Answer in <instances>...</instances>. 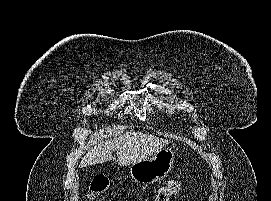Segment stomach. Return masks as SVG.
<instances>
[{
	"instance_id": "obj_1",
	"label": "stomach",
	"mask_w": 271,
	"mask_h": 201,
	"mask_svg": "<svg viewBox=\"0 0 271 201\" xmlns=\"http://www.w3.org/2000/svg\"><path fill=\"white\" fill-rule=\"evenodd\" d=\"M175 152L162 148L152 157L133 163L130 167V175L134 182L150 184L165 178L173 168Z\"/></svg>"
}]
</instances>
